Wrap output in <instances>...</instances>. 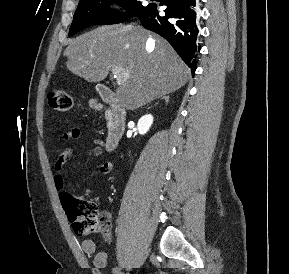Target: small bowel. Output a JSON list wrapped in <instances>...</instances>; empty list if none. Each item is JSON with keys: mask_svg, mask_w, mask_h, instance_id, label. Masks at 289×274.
<instances>
[{"mask_svg": "<svg viewBox=\"0 0 289 274\" xmlns=\"http://www.w3.org/2000/svg\"><path fill=\"white\" fill-rule=\"evenodd\" d=\"M83 133L79 128H72L60 136L61 141L68 139H80L82 138ZM101 142L96 140V146L90 149V155L99 156L102 153V148L100 146ZM74 155V149L68 147L64 149L57 157L55 162L56 173L53 177L54 186L58 191H62L65 187V178L61 174L62 166ZM113 168V164L110 161L104 162L101 164L99 170L103 174L109 173ZM108 242H112L110 233L105 236ZM82 251L88 255L93 256V263L97 268H105L108 265L109 257L105 250L99 248V244L92 239H84L81 242Z\"/></svg>", "mask_w": 289, "mask_h": 274, "instance_id": "small-bowel-1", "label": "small bowel"}]
</instances>
